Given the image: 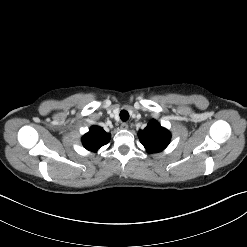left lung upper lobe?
<instances>
[{
  "mask_svg": "<svg viewBox=\"0 0 247 247\" xmlns=\"http://www.w3.org/2000/svg\"><path fill=\"white\" fill-rule=\"evenodd\" d=\"M138 137L148 153H156L168 146L171 134L156 120H151L144 130L138 132Z\"/></svg>",
  "mask_w": 247,
  "mask_h": 247,
  "instance_id": "left-lung-upper-lobe-1",
  "label": "left lung upper lobe"
}]
</instances>
